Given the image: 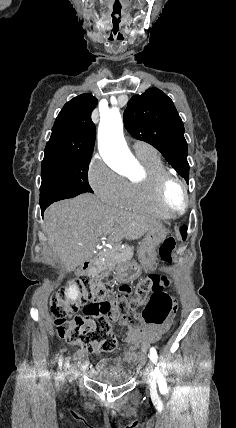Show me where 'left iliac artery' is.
Segmentation results:
<instances>
[{
  "mask_svg": "<svg viewBox=\"0 0 236 428\" xmlns=\"http://www.w3.org/2000/svg\"><path fill=\"white\" fill-rule=\"evenodd\" d=\"M157 358H158L157 352H156L155 348L152 347L150 349V360L156 364ZM158 366H159V363L157 364V367H155L154 371L152 372V376L155 378L156 377H163V374L160 372Z\"/></svg>",
  "mask_w": 236,
  "mask_h": 428,
  "instance_id": "obj_1",
  "label": "left iliac artery"
}]
</instances>
